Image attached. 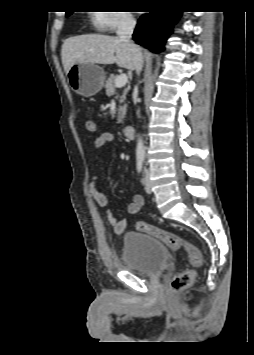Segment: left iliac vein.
<instances>
[{
	"mask_svg": "<svg viewBox=\"0 0 254 355\" xmlns=\"http://www.w3.org/2000/svg\"><path fill=\"white\" fill-rule=\"evenodd\" d=\"M143 183H144L146 192L148 194H151L152 189H151V183H150V179H149V171L147 169H145V176L143 178Z\"/></svg>",
	"mask_w": 254,
	"mask_h": 355,
	"instance_id": "left-iliac-vein-1",
	"label": "left iliac vein"
}]
</instances>
